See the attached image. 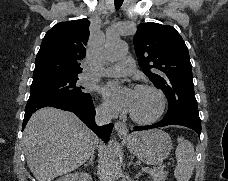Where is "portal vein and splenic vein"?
Masks as SVG:
<instances>
[{
	"label": "portal vein and splenic vein",
	"instance_id": "portal-vein-and-splenic-vein-1",
	"mask_svg": "<svg viewBox=\"0 0 228 181\" xmlns=\"http://www.w3.org/2000/svg\"><path fill=\"white\" fill-rule=\"evenodd\" d=\"M157 168L158 166L157 165H152V164H149L148 166H141L139 169L141 170V174H149V169H152V168Z\"/></svg>",
	"mask_w": 228,
	"mask_h": 181
}]
</instances>
